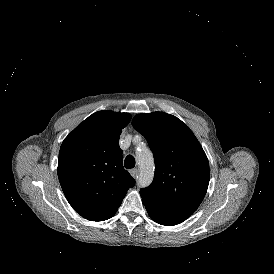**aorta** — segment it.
Returning <instances> with one entry per match:
<instances>
[{
	"label": "aorta",
	"mask_w": 274,
	"mask_h": 274,
	"mask_svg": "<svg viewBox=\"0 0 274 274\" xmlns=\"http://www.w3.org/2000/svg\"><path fill=\"white\" fill-rule=\"evenodd\" d=\"M136 156L139 164L138 185L147 187L151 184L154 177V159L153 154L148 148L137 151Z\"/></svg>",
	"instance_id": "1"
}]
</instances>
